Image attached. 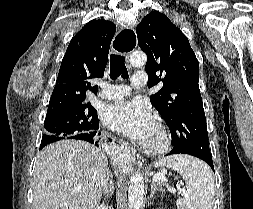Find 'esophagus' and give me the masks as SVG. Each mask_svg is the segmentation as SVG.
Segmentation results:
<instances>
[{"label":"esophagus","instance_id":"esophagus-1","mask_svg":"<svg viewBox=\"0 0 253 209\" xmlns=\"http://www.w3.org/2000/svg\"><path fill=\"white\" fill-rule=\"evenodd\" d=\"M137 46V35L133 27H124L122 28L113 39L112 47L116 50L117 47H120L126 56V59L129 58V55L135 50ZM117 143L120 146V149L125 150L129 153L130 161H135V154L133 150L122 140H118Z\"/></svg>","mask_w":253,"mask_h":209}]
</instances>
